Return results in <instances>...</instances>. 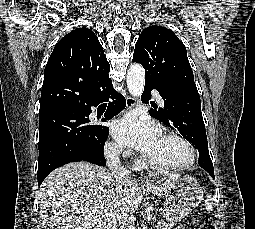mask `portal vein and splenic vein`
Here are the masks:
<instances>
[{
  "label": "portal vein and splenic vein",
  "instance_id": "portal-vein-and-splenic-vein-1",
  "mask_svg": "<svg viewBox=\"0 0 255 229\" xmlns=\"http://www.w3.org/2000/svg\"><path fill=\"white\" fill-rule=\"evenodd\" d=\"M161 224H162L161 222H158V223H157V226H161Z\"/></svg>",
  "mask_w": 255,
  "mask_h": 229
}]
</instances>
